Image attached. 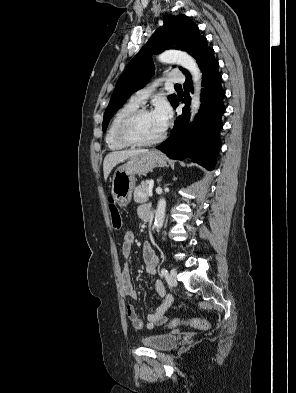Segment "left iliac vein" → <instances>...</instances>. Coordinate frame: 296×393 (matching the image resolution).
<instances>
[{"label":"left iliac vein","instance_id":"left-iliac-vein-1","mask_svg":"<svg viewBox=\"0 0 296 393\" xmlns=\"http://www.w3.org/2000/svg\"><path fill=\"white\" fill-rule=\"evenodd\" d=\"M168 281L173 286L177 285V271L175 269L170 271Z\"/></svg>","mask_w":296,"mask_h":393}]
</instances>
